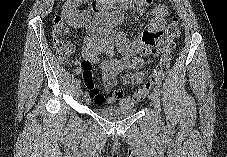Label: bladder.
Masks as SVG:
<instances>
[{
	"label": "bladder",
	"instance_id": "bladder-1",
	"mask_svg": "<svg viewBox=\"0 0 227 157\" xmlns=\"http://www.w3.org/2000/svg\"><path fill=\"white\" fill-rule=\"evenodd\" d=\"M94 112L103 119L115 121L128 118L135 114L136 110L134 108H124V107H99L94 109Z\"/></svg>",
	"mask_w": 227,
	"mask_h": 157
}]
</instances>
